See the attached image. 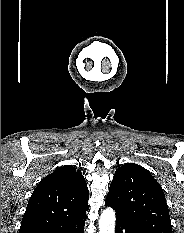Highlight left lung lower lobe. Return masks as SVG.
Wrapping results in <instances>:
<instances>
[{
  "label": "left lung lower lobe",
  "mask_w": 184,
  "mask_h": 233,
  "mask_svg": "<svg viewBox=\"0 0 184 233\" xmlns=\"http://www.w3.org/2000/svg\"><path fill=\"white\" fill-rule=\"evenodd\" d=\"M106 206H109L105 204ZM115 233H141L138 229L133 227L122 215L116 213V227Z\"/></svg>",
  "instance_id": "0a47b994"
}]
</instances>
